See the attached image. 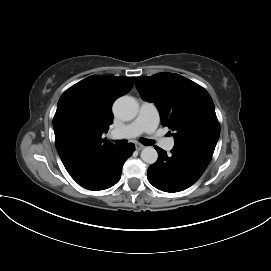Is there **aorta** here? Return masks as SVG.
<instances>
[{
    "label": "aorta",
    "mask_w": 271,
    "mask_h": 271,
    "mask_svg": "<svg viewBox=\"0 0 271 271\" xmlns=\"http://www.w3.org/2000/svg\"><path fill=\"white\" fill-rule=\"evenodd\" d=\"M113 111L115 115L124 121L134 119L139 111L137 101L130 96H122L118 98L114 105ZM158 153L153 147H145L141 151V159L148 164H153L157 161Z\"/></svg>",
    "instance_id": "aorta-1"
}]
</instances>
